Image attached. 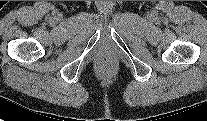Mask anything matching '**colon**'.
I'll return each instance as SVG.
<instances>
[{"label":"colon","mask_w":207,"mask_h":121,"mask_svg":"<svg viewBox=\"0 0 207 121\" xmlns=\"http://www.w3.org/2000/svg\"><path fill=\"white\" fill-rule=\"evenodd\" d=\"M102 63H103L104 65H108V64L110 63V59L107 58V57H105V58L103 59Z\"/></svg>","instance_id":"5ec220e1"}]
</instances>
